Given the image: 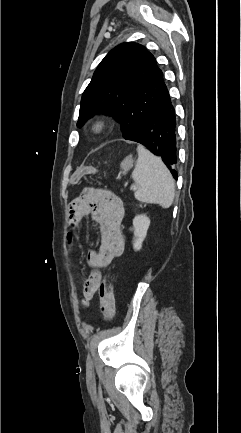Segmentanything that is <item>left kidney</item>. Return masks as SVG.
I'll list each match as a JSON object with an SVG mask.
<instances>
[{"instance_id": "obj_1", "label": "left kidney", "mask_w": 241, "mask_h": 433, "mask_svg": "<svg viewBox=\"0 0 241 433\" xmlns=\"http://www.w3.org/2000/svg\"><path fill=\"white\" fill-rule=\"evenodd\" d=\"M149 226L150 219L146 215H138L133 219V248L135 251H139L142 248V243L147 235V230Z\"/></svg>"}]
</instances>
